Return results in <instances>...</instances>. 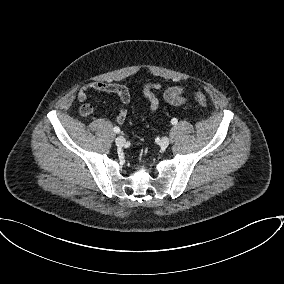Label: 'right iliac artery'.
Returning <instances> with one entry per match:
<instances>
[{
  "label": "right iliac artery",
  "mask_w": 284,
  "mask_h": 284,
  "mask_svg": "<svg viewBox=\"0 0 284 284\" xmlns=\"http://www.w3.org/2000/svg\"><path fill=\"white\" fill-rule=\"evenodd\" d=\"M113 130H114L115 133H119V132H120V128L117 127V126H115V127L113 128Z\"/></svg>",
  "instance_id": "82829eb1"
}]
</instances>
